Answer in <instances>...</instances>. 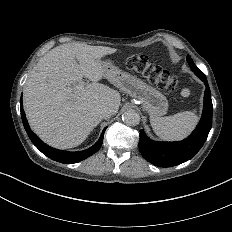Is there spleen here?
<instances>
[{
	"label": "spleen",
	"mask_w": 232,
	"mask_h": 232,
	"mask_svg": "<svg viewBox=\"0 0 232 232\" xmlns=\"http://www.w3.org/2000/svg\"><path fill=\"white\" fill-rule=\"evenodd\" d=\"M197 119L193 112L183 111L165 117L151 116V124L160 137L179 139L192 130Z\"/></svg>",
	"instance_id": "spleen-1"
}]
</instances>
